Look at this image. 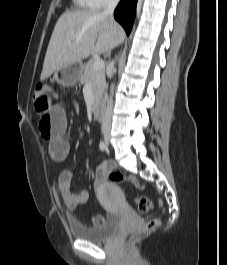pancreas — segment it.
<instances>
[{
  "instance_id": "obj_1",
  "label": "pancreas",
  "mask_w": 227,
  "mask_h": 265,
  "mask_svg": "<svg viewBox=\"0 0 227 265\" xmlns=\"http://www.w3.org/2000/svg\"><path fill=\"white\" fill-rule=\"evenodd\" d=\"M94 62V60H90L86 65L83 66L80 82L81 84H91L94 100L97 101L104 93L105 69L102 68L95 70L93 67Z\"/></svg>"
}]
</instances>
